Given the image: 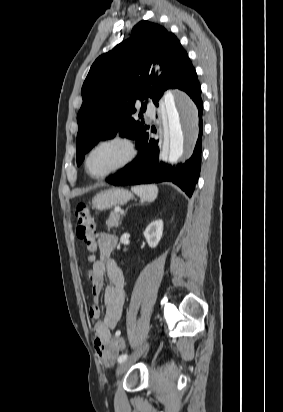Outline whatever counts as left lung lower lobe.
<instances>
[{
  "instance_id": "1",
  "label": "left lung lower lobe",
  "mask_w": 283,
  "mask_h": 412,
  "mask_svg": "<svg viewBox=\"0 0 283 412\" xmlns=\"http://www.w3.org/2000/svg\"><path fill=\"white\" fill-rule=\"evenodd\" d=\"M175 88L185 91L195 102L199 112V138L193 155L177 166L165 165L158 161L159 140L152 136L153 128L147 126L133 139L140 150L134 161L107 179L113 185L172 182L179 186L189 197L195 189L200 174L201 136H202V99L201 87L195 69L179 79Z\"/></svg>"
}]
</instances>
